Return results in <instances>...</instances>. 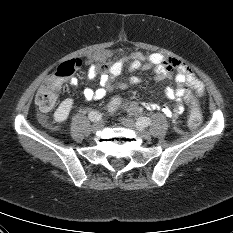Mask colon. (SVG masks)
<instances>
[{"mask_svg": "<svg viewBox=\"0 0 233 233\" xmlns=\"http://www.w3.org/2000/svg\"><path fill=\"white\" fill-rule=\"evenodd\" d=\"M79 59H72L60 64L53 75H51L39 88L35 97V103L41 111H49L55 104L57 92L61 82L74 75L81 67ZM120 100L114 99L111 102V109L118 106ZM191 113L188 120V126L196 129L201 123V113L195 98L191 100Z\"/></svg>", "mask_w": 233, "mask_h": 233, "instance_id": "obj_1", "label": "colon"}]
</instances>
